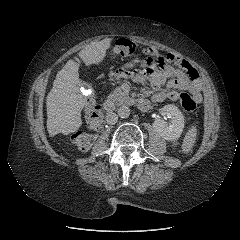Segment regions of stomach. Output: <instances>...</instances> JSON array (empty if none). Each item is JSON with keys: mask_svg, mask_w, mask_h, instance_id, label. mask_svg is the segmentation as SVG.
I'll list each match as a JSON object with an SVG mask.
<instances>
[{"mask_svg": "<svg viewBox=\"0 0 240 240\" xmlns=\"http://www.w3.org/2000/svg\"><path fill=\"white\" fill-rule=\"evenodd\" d=\"M126 66H133V64L132 63H128V64H125Z\"/></svg>", "mask_w": 240, "mask_h": 240, "instance_id": "obj_1", "label": "stomach"}]
</instances>
